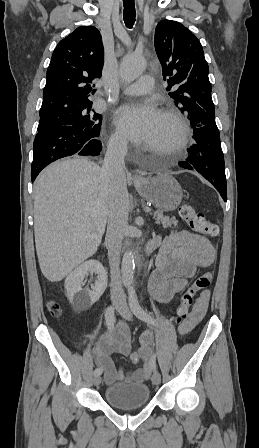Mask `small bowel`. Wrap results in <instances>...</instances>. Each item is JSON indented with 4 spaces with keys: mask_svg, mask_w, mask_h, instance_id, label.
I'll use <instances>...</instances> for the list:
<instances>
[{
    "mask_svg": "<svg viewBox=\"0 0 259 448\" xmlns=\"http://www.w3.org/2000/svg\"><path fill=\"white\" fill-rule=\"evenodd\" d=\"M159 252L156 258V269L149 279V292L159 303L169 302L176 294L185 290L188 279L192 278L198 267L211 265L216 256L211 242L189 231H179L166 237H158L152 241ZM210 299V293L204 290L197 298L189 319L179 325L180 334H188L204 318ZM151 336L146 333L141 338L139 355L143 367L130 374H125L123 368H116L113 354L128 356L131 353L130 329L126 322L121 321L112 332L105 333L94 347L96 364L104 370L106 384L117 381L140 383L150 378L155 367L150 350Z\"/></svg>",
    "mask_w": 259,
    "mask_h": 448,
    "instance_id": "obj_1",
    "label": "small bowel"
}]
</instances>
